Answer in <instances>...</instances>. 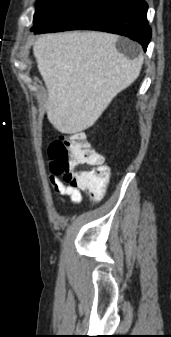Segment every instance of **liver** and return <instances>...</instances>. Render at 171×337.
I'll use <instances>...</instances> for the list:
<instances>
[{
	"label": "liver",
	"instance_id": "6515ba94",
	"mask_svg": "<svg viewBox=\"0 0 171 337\" xmlns=\"http://www.w3.org/2000/svg\"><path fill=\"white\" fill-rule=\"evenodd\" d=\"M117 36L102 32L43 34L33 46L48 90L47 117L59 132L91 127L112 99L139 76L143 58L127 59Z\"/></svg>",
	"mask_w": 171,
	"mask_h": 337
}]
</instances>
